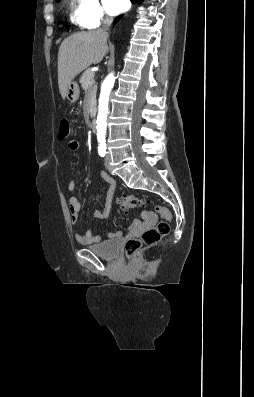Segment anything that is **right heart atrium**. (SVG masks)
I'll return each mask as SVG.
<instances>
[{
  "mask_svg": "<svg viewBox=\"0 0 254 397\" xmlns=\"http://www.w3.org/2000/svg\"><path fill=\"white\" fill-rule=\"evenodd\" d=\"M77 17L81 27L94 29L110 20L99 0H78Z\"/></svg>",
  "mask_w": 254,
  "mask_h": 397,
  "instance_id": "right-heart-atrium-1",
  "label": "right heart atrium"
}]
</instances>
